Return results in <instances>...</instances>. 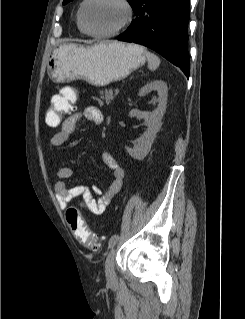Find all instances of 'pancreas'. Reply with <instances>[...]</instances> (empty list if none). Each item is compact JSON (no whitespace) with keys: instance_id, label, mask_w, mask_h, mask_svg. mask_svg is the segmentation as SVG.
I'll use <instances>...</instances> for the list:
<instances>
[{"instance_id":"pancreas-1","label":"pancreas","mask_w":245,"mask_h":319,"mask_svg":"<svg viewBox=\"0 0 245 319\" xmlns=\"http://www.w3.org/2000/svg\"><path fill=\"white\" fill-rule=\"evenodd\" d=\"M115 95H113V91L111 89H105V91L101 92V98L105 99L107 103H110Z\"/></svg>"}]
</instances>
